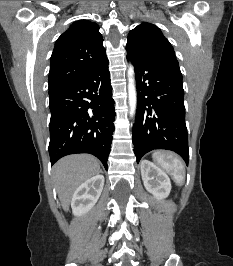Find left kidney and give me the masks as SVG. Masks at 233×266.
Masks as SVG:
<instances>
[{
  "label": "left kidney",
  "mask_w": 233,
  "mask_h": 266,
  "mask_svg": "<svg viewBox=\"0 0 233 266\" xmlns=\"http://www.w3.org/2000/svg\"><path fill=\"white\" fill-rule=\"evenodd\" d=\"M140 167L146 190L158 200L168 197L171 191V182L168 175L148 160H143Z\"/></svg>",
  "instance_id": "1"
}]
</instances>
